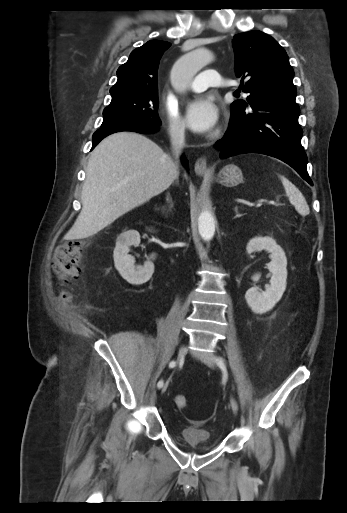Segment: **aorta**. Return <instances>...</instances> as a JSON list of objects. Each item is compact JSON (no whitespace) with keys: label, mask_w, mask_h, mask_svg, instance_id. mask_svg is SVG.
I'll return each mask as SVG.
<instances>
[{"label":"aorta","mask_w":347,"mask_h":513,"mask_svg":"<svg viewBox=\"0 0 347 513\" xmlns=\"http://www.w3.org/2000/svg\"><path fill=\"white\" fill-rule=\"evenodd\" d=\"M213 61L212 53L205 48L195 49L180 57L171 70L173 88L183 93L187 90L194 75ZM199 232L204 241H210L215 233V221L211 212L204 210L198 219Z\"/></svg>","instance_id":"1"}]
</instances>
